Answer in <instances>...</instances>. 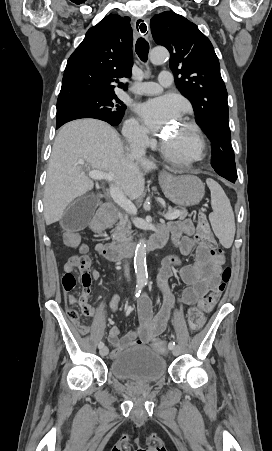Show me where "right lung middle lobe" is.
Listing matches in <instances>:
<instances>
[{"label": "right lung middle lobe", "mask_w": 272, "mask_h": 451, "mask_svg": "<svg viewBox=\"0 0 272 451\" xmlns=\"http://www.w3.org/2000/svg\"><path fill=\"white\" fill-rule=\"evenodd\" d=\"M126 106L116 95H88L58 99L56 125L80 118H95L116 126Z\"/></svg>", "instance_id": "1"}]
</instances>
